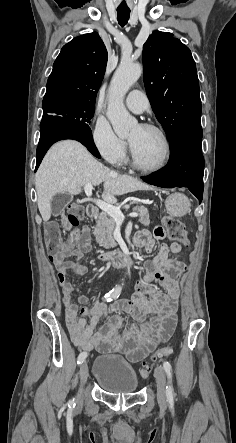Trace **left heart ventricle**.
<instances>
[{
	"label": "left heart ventricle",
	"mask_w": 236,
	"mask_h": 443,
	"mask_svg": "<svg viewBox=\"0 0 236 443\" xmlns=\"http://www.w3.org/2000/svg\"><path fill=\"white\" fill-rule=\"evenodd\" d=\"M128 140L142 165L155 167L162 162L165 145L158 133L138 125L131 131Z\"/></svg>",
	"instance_id": "left-heart-ventricle-1"
}]
</instances>
